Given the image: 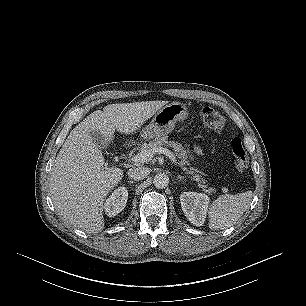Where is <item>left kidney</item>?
Returning a JSON list of instances; mask_svg holds the SVG:
<instances>
[{"instance_id":"obj_1","label":"left kidney","mask_w":306,"mask_h":306,"mask_svg":"<svg viewBox=\"0 0 306 306\" xmlns=\"http://www.w3.org/2000/svg\"><path fill=\"white\" fill-rule=\"evenodd\" d=\"M182 210L187 219L195 226H202L205 222L210 198L202 193L183 192L180 195Z\"/></svg>"}]
</instances>
